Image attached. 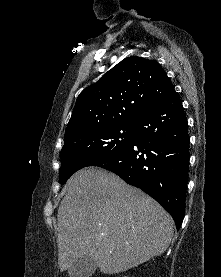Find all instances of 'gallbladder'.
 <instances>
[{"label": "gallbladder", "mask_w": 221, "mask_h": 277, "mask_svg": "<svg viewBox=\"0 0 221 277\" xmlns=\"http://www.w3.org/2000/svg\"><path fill=\"white\" fill-rule=\"evenodd\" d=\"M97 268L96 262L90 257L78 259L69 269V277H90Z\"/></svg>", "instance_id": "obj_1"}]
</instances>
